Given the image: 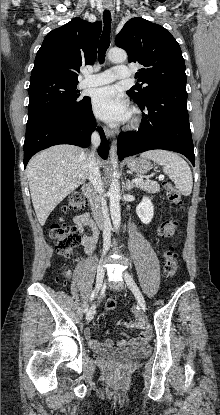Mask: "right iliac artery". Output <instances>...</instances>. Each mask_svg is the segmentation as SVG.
I'll use <instances>...</instances> for the list:
<instances>
[{
  "label": "right iliac artery",
  "mask_w": 220,
  "mask_h": 415,
  "mask_svg": "<svg viewBox=\"0 0 220 415\" xmlns=\"http://www.w3.org/2000/svg\"><path fill=\"white\" fill-rule=\"evenodd\" d=\"M94 298H95V290H93V291H92V293H91V296H90V302H92V301L94 300ZM88 310H89V305H87V306L84 308V312H88ZM94 312H95V308H94Z\"/></svg>",
  "instance_id": "1"
}]
</instances>
